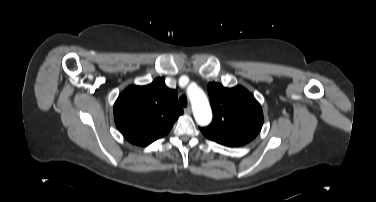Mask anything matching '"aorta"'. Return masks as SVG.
Returning <instances> with one entry per match:
<instances>
[{
    "label": "aorta",
    "mask_w": 376,
    "mask_h": 202,
    "mask_svg": "<svg viewBox=\"0 0 376 202\" xmlns=\"http://www.w3.org/2000/svg\"><path fill=\"white\" fill-rule=\"evenodd\" d=\"M187 94L192 105L196 123L199 126L210 124L212 120V111L204 91L198 86L190 85L187 88Z\"/></svg>",
    "instance_id": "obj_1"
}]
</instances>
